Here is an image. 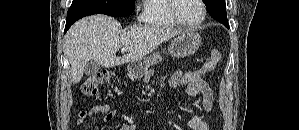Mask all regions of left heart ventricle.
Instances as JSON below:
<instances>
[{
	"label": "left heart ventricle",
	"instance_id": "obj_1",
	"mask_svg": "<svg viewBox=\"0 0 299 130\" xmlns=\"http://www.w3.org/2000/svg\"><path fill=\"white\" fill-rule=\"evenodd\" d=\"M177 12L187 22H196L202 16V8L198 0H178Z\"/></svg>",
	"mask_w": 299,
	"mask_h": 130
}]
</instances>
